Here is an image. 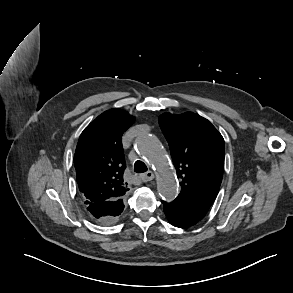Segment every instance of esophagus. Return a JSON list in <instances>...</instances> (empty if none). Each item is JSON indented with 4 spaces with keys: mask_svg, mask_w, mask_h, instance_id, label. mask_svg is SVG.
I'll return each mask as SVG.
<instances>
[{
    "mask_svg": "<svg viewBox=\"0 0 293 293\" xmlns=\"http://www.w3.org/2000/svg\"><path fill=\"white\" fill-rule=\"evenodd\" d=\"M140 179H141L143 182L151 181V180L154 179V174H153V172L148 171V172H146V173H144V174H141V175H140Z\"/></svg>",
    "mask_w": 293,
    "mask_h": 293,
    "instance_id": "34e87169",
    "label": "esophagus"
}]
</instances>
